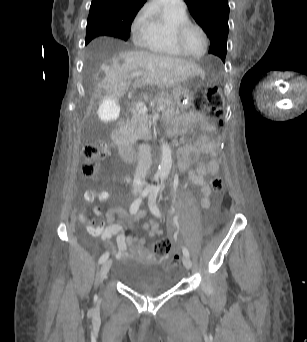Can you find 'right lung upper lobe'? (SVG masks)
Instances as JSON below:
<instances>
[{
    "instance_id": "cb5924a9",
    "label": "right lung upper lobe",
    "mask_w": 307,
    "mask_h": 342,
    "mask_svg": "<svg viewBox=\"0 0 307 342\" xmlns=\"http://www.w3.org/2000/svg\"><path fill=\"white\" fill-rule=\"evenodd\" d=\"M146 0H92L87 22L108 30L130 32L131 23Z\"/></svg>"
}]
</instances>
